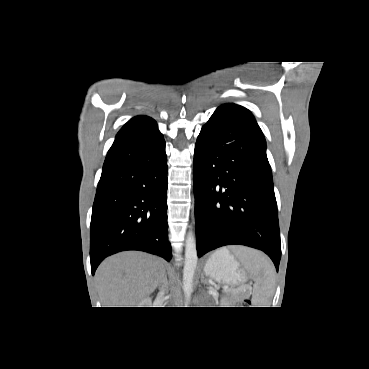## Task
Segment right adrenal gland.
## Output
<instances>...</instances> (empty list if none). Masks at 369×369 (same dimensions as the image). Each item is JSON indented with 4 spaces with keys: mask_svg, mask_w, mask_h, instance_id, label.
Segmentation results:
<instances>
[{
    "mask_svg": "<svg viewBox=\"0 0 369 369\" xmlns=\"http://www.w3.org/2000/svg\"><path fill=\"white\" fill-rule=\"evenodd\" d=\"M167 284H168L167 275H166V274H164V276H163V280H162V282L159 284V286L167 287Z\"/></svg>",
    "mask_w": 369,
    "mask_h": 369,
    "instance_id": "obj_1",
    "label": "right adrenal gland"
}]
</instances>
